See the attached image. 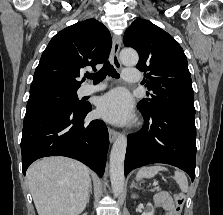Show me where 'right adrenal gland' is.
Listing matches in <instances>:
<instances>
[{"mask_svg":"<svg viewBox=\"0 0 223 215\" xmlns=\"http://www.w3.org/2000/svg\"><path fill=\"white\" fill-rule=\"evenodd\" d=\"M90 193H92V183H91V181H90V187H89V191H88L87 203H89Z\"/></svg>","mask_w":223,"mask_h":215,"instance_id":"2a0ac1e0","label":"right adrenal gland"}]
</instances>
